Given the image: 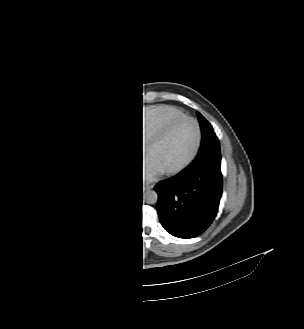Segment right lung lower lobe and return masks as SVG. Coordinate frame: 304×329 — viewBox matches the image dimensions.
I'll list each match as a JSON object with an SVG mask.
<instances>
[{
	"label": "right lung lower lobe",
	"mask_w": 304,
	"mask_h": 329,
	"mask_svg": "<svg viewBox=\"0 0 304 329\" xmlns=\"http://www.w3.org/2000/svg\"><path fill=\"white\" fill-rule=\"evenodd\" d=\"M61 182L67 215L80 234L102 247L125 239L142 201V185L131 170L81 172Z\"/></svg>",
	"instance_id": "right-lung-lower-lobe-1"
}]
</instances>
